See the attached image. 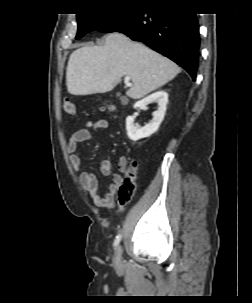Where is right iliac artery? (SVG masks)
Listing matches in <instances>:
<instances>
[{"label": "right iliac artery", "mask_w": 252, "mask_h": 303, "mask_svg": "<svg viewBox=\"0 0 252 303\" xmlns=\"http://www.w3.org/2000/svg\"><path fill=\"white\" fill-rule=\"evenodd\" d=\"M121 240V233H119L114 240V247H116Z\"/></svg>", "instance_id": "1"}]
</instances>
